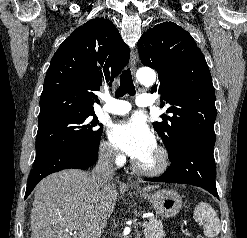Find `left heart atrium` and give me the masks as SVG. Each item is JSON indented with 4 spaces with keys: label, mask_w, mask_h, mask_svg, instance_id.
I'll return each mask as SVG.
<instances>
[{
    "label": "left heart atrium",
    "mask_w": 247,
    "mask_h": 238,
    "mask_svg": "<svg viewBox=\"0 0 247 238\" xmlns=\"http://www.w3.org/2000/svg\"><path fill=\"white\" fill-rule=\"evenodd\" d=\"M109 137L115 147L139 160L155 148V137L140 118L122 120L112 125Z\"/></svg>",
    "instance_id": "left-heart-atrium-1"
}]
</instances>
